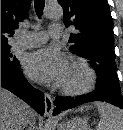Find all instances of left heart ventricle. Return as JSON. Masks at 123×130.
Wrapping results in <instances>:
<instances>
[{
	"mask_svg": "<svg viewBox=\"0 0 123 130\" xmlns=\"http://www.w3.org/2000/svg\"><path fill=\"white\" fill-rule=\"evenodd\" d=\"M85 80L86 74L82 70L68 67L61 81V84L69 86H78L83 84Z\"/></svg>",
	"mask_w": 123,
	"mask_h": 130,
	"instance_id": "obj_1",
	"label": "left heart ventricle"
}]
</instances>
